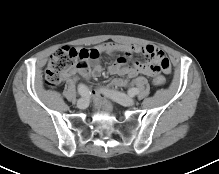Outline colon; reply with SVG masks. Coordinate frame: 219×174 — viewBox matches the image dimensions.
Instances as JSON below:
<instances>
[{
  "instance_id": "1",
  "label": "colon",
  "mask_w": 219,
  "mask_h": 174,
  "mask_svg": "<svg viewBox=\"0 0 219 174\" xmlns=\"http://www.w3.org/2000/svg\"><path fill=\"white\" fill-rule=\"evenodd\" d=\"M97 56L99 54L95 50L81 52L69 47L56 50L51 55L45 71L46 83L51 87L59 85L66 75L79 66L83 59ZM153 84L155 87H162L165 84V78L157 76L153 79Z\"/></svg>"
}]
</instances>
